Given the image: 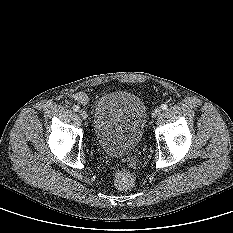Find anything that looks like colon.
Wrapping results in <instances>:
<instances>
[{"label":"colon","instance_id":"colon-1","mask_svg":"<svg viewBox=\"0 0 233 233\" xmlns=\"http://www.w3.org/2000/svg\"><path fill=\"white\" fill-rule=\"evenodd\" d=\"M114 183L118 189L128 190L134 184V177L128 170L121 169L115 173Z\"/></svg>","mask_w":233,"mask_h":233}]
</instances>
